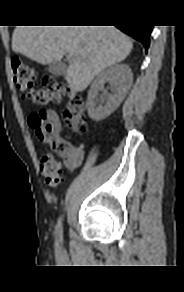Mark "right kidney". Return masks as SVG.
Masks as SVG:
<instances>
[{"label":"right kidney","mask_w":184,"mask_h":292,"mask_svg":"<svg viewBox=\"0 0 184 292\" xmlns=\"http://www.w3.org/2000/svg\"><path fill=\"white\" fill-rule=\"evenodd\" d=\"M106 82L110 83L111 93L97 100V95ZM132 82L133 74L127 64L118 63L99 73L88 91L86 106L90 118L100 121L114 112L126 97Z\"/></svg>","instance_id":"ca27d5eb"}]
</instances>
